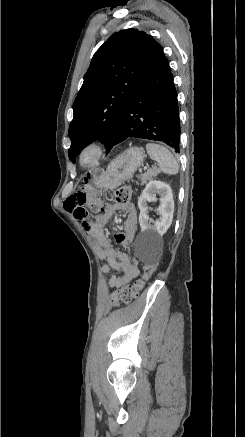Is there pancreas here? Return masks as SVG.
Wrapping results in <instances>:
<instances>
[{"label": "pancreas", "mask_w": 245, "mask_h": 437, "mask_svg": "<svg viewBox=\"0 0 245 437\" xmlns=\"http://www.w3.org/2000/svg\"><path fill=\"white\" fill-rule=\"evenodd\" d=\"M159 174V170L155 167L147 170L144 174H141L139 176V179L141 181V185H144L147 183V181L151 180L152 178L156 177Z\"/></svg>", "instance_id": "cf45deb5"}]
</instances>
